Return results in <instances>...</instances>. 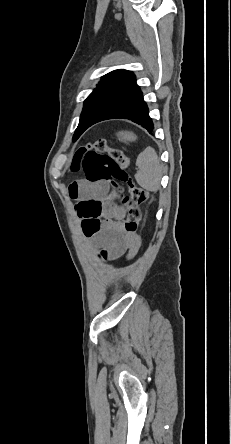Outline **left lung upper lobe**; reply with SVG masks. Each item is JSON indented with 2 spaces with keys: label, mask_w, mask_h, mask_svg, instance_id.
<instances>
[{
  "label": "left lung upper lobe",
  "mask_w": 231,
  "mask_h": 444,
  "mask_svg": "<svg viewBox=\"0 0 231 444\" xmlns=\"http://www.w3.org/2000/svg\"><path fill=\"white\" fill-rule=\"evenodd\" d=\"M138 90L131 71L119 69L103 76L97 88L84 101L73 140H77L89 126L118 113Z\"/></svg>",
  "instance_id": "left-lung-upper-lobe-1"
}]
</instances>
